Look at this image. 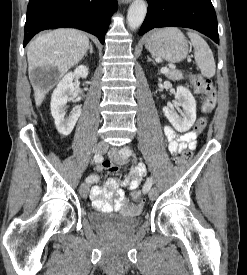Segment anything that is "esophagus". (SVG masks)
<instances>
[{
  "mask_svg": "<svg viewBox=\"0 0 247 275\" xmlns=\"http://www.w3.org/2000/svg\"><path fill=\"white\" fill-rule=\"evenodd\" d=\"M121 3H129L131 2L132 0H119Z\"/></svg>",
  "mask_w": 247,
  "mask_h": 275,
  "instance_id": "obj_1",
  "label": "esophagus"
}]
</instances>
